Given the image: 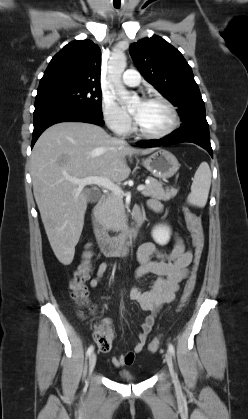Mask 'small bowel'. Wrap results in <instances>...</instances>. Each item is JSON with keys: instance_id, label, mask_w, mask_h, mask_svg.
Listing matches in <instances>:
<instances>
[{"instance_id": "small-bowel-1", "label": "small bowel", "mask_w": 248, "mask_h": 419, "mask_svg": "<svg viewBox=\"0 0 248 419\" xmlns=\"http://www.w3.org/2000/svg\"><path fill=\"white\" fill-rule=\"evenodd\" d=\"M148 206L154 212H160L162 209L161 203L155 199L150 200ZM137 260L139 266L134 272V279L153 276L154 281L147 291H141L134 285L129 291V298L142 310L151 313L144 318L138 341L133 349L126 354L113 357L112 364L116 367L132 365L136 355L143 350L159 308L174 300L181 282L189 276L193 253L186 249L182 238L176 235L170 250H163L151 242L142 244L137 251ZM108 266L106 262L98 266L95 276L89 282L90 287L98 286ZM112 348V339L107 344L98 345L102 353H108Z\"/></svg>"}]
</instances>
